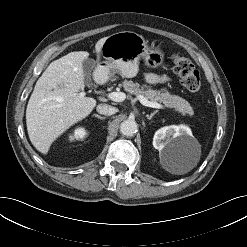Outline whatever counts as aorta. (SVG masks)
Wrapping results in <instances>:
<instances>
[{
    "label": "aorta",
    "instance_id": "aorta-1",
    "mask_svg": "<svg viewBox=\"0 0 247 247\" xmlns=\"http://www.w3.org/2000/svg\"><path fill=\"white\" fill-rule=\"evenodd\" d=\"M138 129V125L134 120H125L120 124V132L125 136H133Z\"/></svg>",
    "mask_w": 247,
    "mask_h": 247
}]
</instances>
